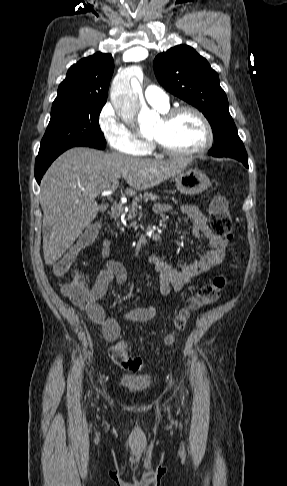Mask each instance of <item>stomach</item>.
<instances>
[{
	"instance_id": "1",
	"label": "stomach",
	"mask_w": 287,
	"mask_h": 486,
	"mask_svg": "<svg viewBox=\"0 0 287 486\" xmlns=\"http://www.w3.org/2000/svg\"><path fill=\"white\" fill-rule=\"evenodd\" d=\"M195 160L175 177L177 190L185 195H197L211 187L208 176L198 168L193 167Z\"/></svg>"
}]
</instances>
